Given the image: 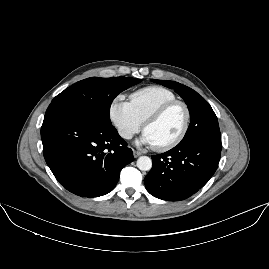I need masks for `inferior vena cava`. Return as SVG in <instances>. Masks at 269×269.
I'll return each mask as SVG.
<instances>
[{
	"label": "inferior vena cava",
	"instance_id": "602c4592",
	"mask_svg": "<svg viewBox=\"0 0 269 269\" xmlns=\"http://www.w3.org/2000/svg\"><path fill=\"white\" fill-rule=\"evenodd\" d=\"M121 137H123L125 139H132L133 133L132 132H128V134H122Z\"/></svg>",
	"mask_w": 269,
	"mask_h": 269
}]
</instances>
